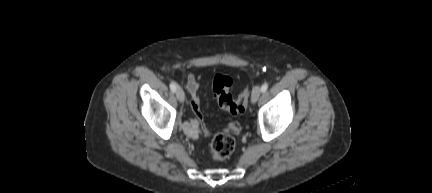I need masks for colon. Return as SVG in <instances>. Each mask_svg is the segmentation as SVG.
Listing matches in <instances>:
<instances>
[{"label":"colon","mask_w":432,"mask_h":193,"mask_svg":"<svg viewBox=\"0 0 432 193\" xmlns=\"http://www.w3.org/2000/svg\"><path fill=\"white\" fill-rule=\"evenodd\" d=\"M232 78L224 74H218L213 80L212 90L218 104L231 114H241L245 111L249 90L245 89L237 97L231 91ZM235 149V140L232 136L224 132L216 133L210 143V155L216 161L228 159Z\"/></svg>","instance_id":"obj_1"}]
</instances>
